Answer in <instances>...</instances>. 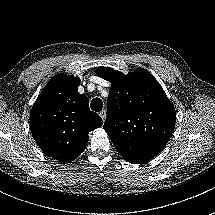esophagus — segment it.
<instances>
[{
	"label": "esophagus",
	"instance_id": "34e87169",
	"mask_svg": "<svg viewBox=\"0 0 215 215\" xmlns=\"http://www.w3.org/2000/svg\"><path fill=\"white\" fill-rule=\"evenodd\" d=\"M100 117L102 118V120L103 121H105V119H106V115H107V112H106V110L104 109V110H102L101 112H100Z\"/></svg>",
	"mask_w": 215,
	"mask_h": 215
}]
</instances>
